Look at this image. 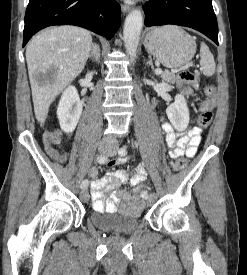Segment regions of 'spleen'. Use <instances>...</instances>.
<instances>
[{"label": "spleen", "instance_id": "obj_1", "mask_svg": "<svg viewBox=\"0 0 247 275\" xmlns=\"http://www.w3.org/2000/svg\"><path fill=\"white\" fill-rule=\"evenodd\" d=\"M200 65L205 76H212L215 73L216 64L214 57L205 43H201L200 47Z\"/></svg>", "mask_w": 247, "mask_h": 275}]
</instances>
